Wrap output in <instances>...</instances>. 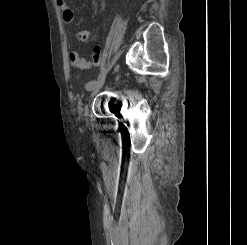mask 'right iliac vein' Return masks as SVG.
<instances>
[{"label": "right iliac vein", "instance_id": "63e3f726", "mask_svg": "<svg viewBox=\"0 0 247 245\" xmlns=\"http://www.w3.org/2000/svg\"><path fill=\"white\" fill-rule=\"evenodd\" d=\"M104 85V82H101V84L98 86V87H93L91 88V97H93L101 88L102 86Z\"/></svg>", "mask_w": 247, "mask_h": 245}]
</instances>
